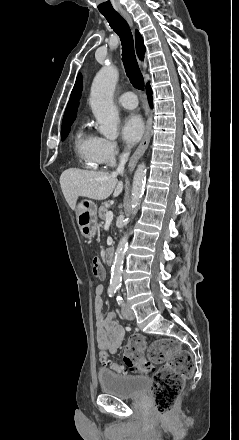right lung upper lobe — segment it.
Listing matches in <instances>:
<instances>
[{"instance_id": "cb5924a9", "label": "right lung upper lobe", "mask_w": 239, "mask_h": 440, "mask_svg": "<svg viewBox=\"0 0 239 440\" xmlns=\"http://www.w3.org/2000/svg\"><path fill=\"white\" fill-rule=\"evenodd\" d=\"M135 39H136V51L138 54V57L143 60V56L145 53V46L143 42V38L141 34L136 30L135 31ZM82 90V82H81V75L77 77L76 83L74 85V88L72 90L69 102L67 104V108L64 113L62 127L72 123L77 115V107H78V100L80 98V93Z\"/></svg>"}]
</instances>
